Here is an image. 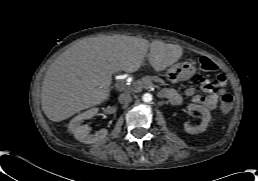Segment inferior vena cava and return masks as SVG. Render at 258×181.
Returning <instances> with one entry per match:
<instances>
[{
	"instance_id": "602c4592",
	"label": "inferior vena cava",
	"mask_w": 258,
	"mask_h": 181,
	"mask_svg": "<svg viewBox=\"0 0 258 181\" xmlns=\"http://www.w3.org/2000/svg\"><path fill=\"white\" fill-rule=\"evenodd\" d=\"M121 104H127L132 101V96L129 93H122L118 98Z\"/></svg>"
}]
</instances>
